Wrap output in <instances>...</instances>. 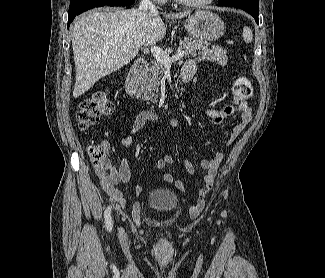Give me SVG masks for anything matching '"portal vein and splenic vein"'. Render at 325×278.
<instances>
[{"label": "portal vein and splenic vein", "instance_id": "portal-vein-and-splenic-vein-1", "mask_svg": "<svg viewBox=\"0 0 325 278\" xmlns=\"http://www.w3.org/2000/svg\"><path fill=\"white\" fill-rule=\"evenodd\" d=\"M151 52L154 58L165 67H170L174 61H177L184 56V51H179L176 53V55L169 57L167 52L163 51L160 47H157L155 45L151 46Z\"/></svg>", "mask_w": 325, "mask_h": 278}]
</instances>
